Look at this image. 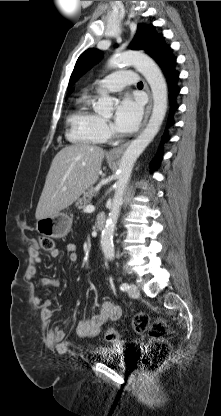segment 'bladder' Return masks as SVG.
I'll return each mask as SVG.
<instances>
[{"mask_svg":"<svg viewBox=\"0 0 221 416\" xmlns=\"http://www.w3.org/2000/svg\"><path fill=\"white\" fill-rule=\"evenodd\" d=\"M111 354H112V350H110V348H108V350L105 353V356H106L105 361L106 362H111V360L109 359Z\"/></svg>","mask_w":221,"mask_h":416,"instance_id":"bladder-1","label":"bladder"}]
</instances>
